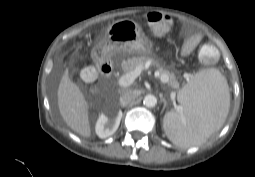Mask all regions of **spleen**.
<instances>
[{
    "mask_svg": "<svg viewBox=\"0 0 255 177\" xmlns=\"http://www.w3.org/2000/svg\"><path fill=\"white\" fill-rule=\"evenodd\" d=\"M181 111L164 116V130L171 142L190 147L206 139L224 124L230 94L225 77L217 69L196 73L178 93Z\"/></svg>",
    "mask_w": 255,
    "mask_h": 177,
    "instance_id": "obj_1",
    "label": "spleen"
}]
</instances>
